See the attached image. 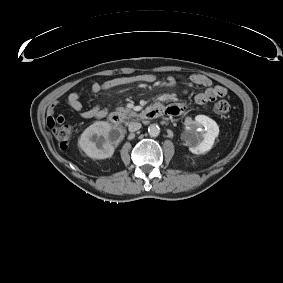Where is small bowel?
I'll list each match as a JSON object with an SVG mask.
<instances>
[{"label": "small bowel", "mask_w": 283, "mask_h": 283, "mask_svg": "<svg viewBox=\"0 0 283 283\" xmlns=\"http://www.w3.org/2000/svg\"><path fill=\"white\" fill-rule=\"evenodd\" d=\"M155 77L151 74H142L137 76H122L116 77L104 82H94L91 85L90 91L92 94H97L105 90L113 89L119 86L138 83V82H154ZM190 81L192 84L196 86L204 87L205 89L202 92L197 93L194 96V101L199 105H204L210 101H213L219 97H224L227 94V90L220 85L213 86L212 81L209 77L203 74H193L190 77ZM169 83H173L174 80L172 78L168 79ZM166 99H171L170 96H166ZM81 97L78 93H70L65 98V104L73 109L75 112L79 114V116L83 119H102L107 114V109L102 107H93L86 109L81 103ZM60 102L54 101L48 107V118L47 123L49 126H54L55 123H64L65 118L63 116H55L56 110L59 108ZM184 111L183 106H170L167 108V112L169 115L178 116L182 114Z\"/></svg>", "instance_id": "c3829d8e"}]
</instances>
